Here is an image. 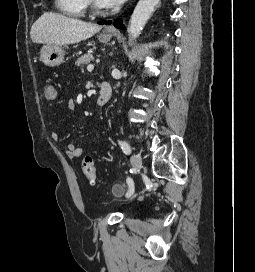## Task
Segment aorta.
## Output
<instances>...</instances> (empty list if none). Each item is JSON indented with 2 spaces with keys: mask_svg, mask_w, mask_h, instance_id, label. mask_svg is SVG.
Instances as JSON below:
<instances>
[{
  "mask_svg": "<svg viewBox=\"0 0 255 272\" xmlns=\"http://www.w3.org/2000/svg\"><path fill=\"white\" fill-rule=\"evenodd\" d=\"M159 1L160 0H139L137 3L128 27L130 45H132L136 38L140 35Z\"/></svg>",
  "mask_w": 255,
  "mask_h": 272,
  "instance_id": "aorta-1",
  "label": "aorta"
}]
</instances>
